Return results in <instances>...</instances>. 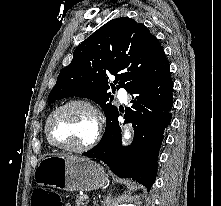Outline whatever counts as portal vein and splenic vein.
Masks as SVG:
<instances>
[{
  "mask_svg": "<svg viewBox=\"0 0 221 206\" xmlns=\"http://www.w3.org/2000/svg\"><path fill=\"white\" fill-rule=\"evenodd\" d=\"M84 199H85V200L88 199V196H84Z\"/></svg>",
  "mask_w": 221,
  "mask_h": 206,
  "instance_id": "portal-vein-and-splenic-vein-1",
  "label": "portal vein and splenic vein"
}]
</instances>
